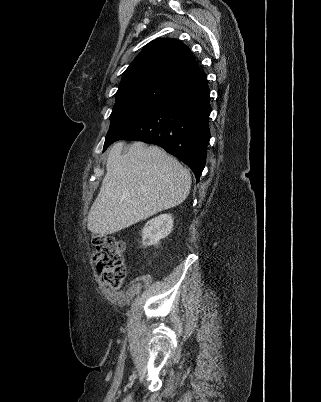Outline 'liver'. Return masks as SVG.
<instances>
[{"instance_id":"liver-1","label":"liver","mask_w":321,"mask_h":402,"mask_svg":"<svg viewBox=\"0 0 321 402\" xmlns=\"http://www.w3.org/2000/svg\"><path fill=\"white\" fill-rule=\"evenodd\" d=\"M124 143L111 148L100 192L92 204L87 227L108 235L162 210L181 204L191 188L190 172L157 146Z\"/></svg>"}]
</instances>
